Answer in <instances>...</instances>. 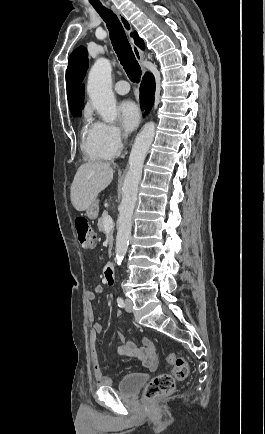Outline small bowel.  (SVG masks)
<instances>
[{"instance_id": "obj_1", "label": "small bowel", "mask_w": 265, "mask_h": 434, "mask_svg": "<svg viewBox=\"0 0 265 434\" xmlns=\"http://www.w3.org/2000/svg\"><path fill=\"white\" fill-rule=\"evenodd\" d=\"M103 292V286L98 284L93 290H88L85 294L86 300L89 304V319L94 321V311L92 309V303L94 302L96 295ZM116 318H122V312L117 310ZM102 331V325L99 322H94L91 335L96 338ZM141 346H137L133 340L127 339L124 335L120 336V347L119 351L125 355H135L141 359L148 368L153 371L157 368V356L155 344L151 338L143 336L141 338ZM93 371L94 375L97 377L99 387H109L111 385V380L106 374L102 372V366L99 357L95 354L93 356Z\"/></svg>"}]
</instances>
